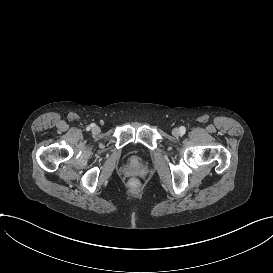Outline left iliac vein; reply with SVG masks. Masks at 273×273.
<instances>
[{
	"mask_svg": "<svg viewBox=\"0 0 273 273\" xmlns=\"http://www.w3.org/2000/svg\"><path fill=\"white\" fill-rule=\"evenodd\" d=\"M172 134H173L174 136L178 137V136L181 135V131H180L179 128H174V129L172 130Z\"/></svg>",
	"mask_w": 273,
	"mask_h": 273,
	"instance_id": "1",
	"label": "left iliac vein"
}]
</instances>
